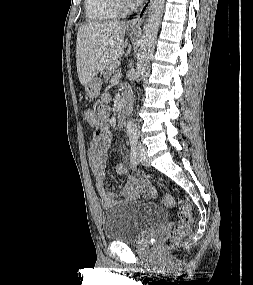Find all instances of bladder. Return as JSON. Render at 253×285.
I'll return each mask as SVG.
<instances>
[{"label":"bladder","instance_id":"obj_1","mask_svg":"<svg viewBox=\"0 0 253 285\" xmlns=\"http://www.w3.org/2000/svg\"><path fill=\"white\" fill-rule=\"evenodd\" d=\"M168 219L165 209L140 201H119L102 215L104 237L113 242H134Z\"/></svg>","mask_w":253,"mask_h":285}]
</instances>
